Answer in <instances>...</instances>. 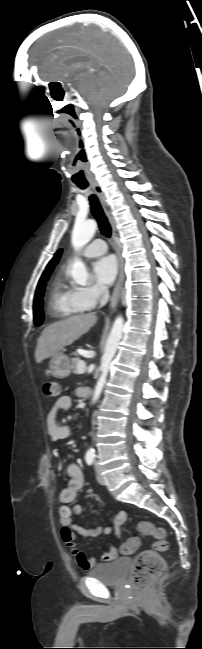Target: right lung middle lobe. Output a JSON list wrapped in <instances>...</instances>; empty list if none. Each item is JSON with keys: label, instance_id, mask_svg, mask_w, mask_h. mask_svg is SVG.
I'll return each instance as SVG.
<instances>
[{"label": "right lung middle lobe", "instance_id": "1", "mask_svg": "<svg viewBox=\"0 0 202 649\" xmlns=\"http://www.w3.org/2000/svg\"><path fill=\"white\" fill-rule=\"evenodd\" d=\"M51 272L52 271H49L41 276L35 292L33 311H34V321L37 326L41 325L44 319L43 295H44L46 282L48 281Z\"/></svg>", "mask_w": 202, "mask_h": 649}]
</instances>
